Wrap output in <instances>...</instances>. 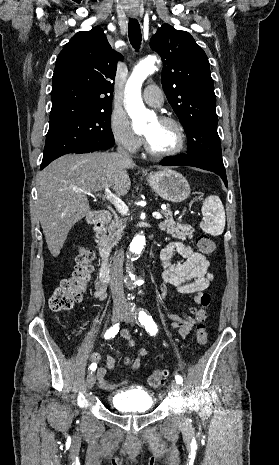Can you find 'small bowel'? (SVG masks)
<instances>
[{
  "label": "small bowel",
  "mask_w": 279,
  "mask_h": 465,
  "mask_svg": "<svg viewBox=\"0 0 279 465\" xmlns=\"http://www.w3.org/2000/svg\"><path fill=\"white\" fill-rule=\"evenodd\" d=\"M178 253L184 258L183 262L173 263L172 256ZM160 258L163 266L161 273L162 291L172 288L178 293L192 295V300L199 303L201 294L207 290L213 280V274L209 271L210 262L201 253L195 252L190 246L179 241L170 242L160 252ZM107 294V285L99 280L95 283L94 297L98 300H104ZM197 309L190 307L186 312L178 314H168L172 320L171 327L178 329L182 338H185L194 328L197 321L190 315H196ZM121 338L124 339L130 348L136 345L131 333L128 330H122ZM148 354L147 349L138 348L133 357H127L124 360L125 365L129 366L132 371L139 369L142 359ZM92 364H100L97 369V378L101 388L107 391L114 390L118 387L125 386L129 380H123L119 383H111L107 379V371L114 369L116 359L112 355L104 357L102 354L95 352L90 358Z\"/></svg>",
  "instance_id": "1"
}]
</instances>
